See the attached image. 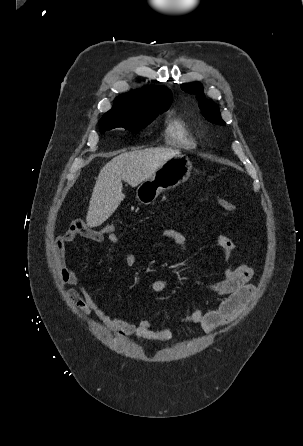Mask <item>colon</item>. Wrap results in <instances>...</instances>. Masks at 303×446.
I'll return each instance as SVG.
<instances>
[{
  "instance_id": "obj_1",
  "label": "colon",
  "mask_w": 303,
  "mask_h": 446,
  "mask_svg": "<svg viewBox=\"0 0 303 446\" xmlns=\"http://www.w3.org/2000/svg\"><path fill=\"white\" fill-rule=\"evenodd\" d=\"M217 203L220 206V208L223 209L224 211L231 212V211L235 210V206L226 199L218 198ZM101 233L105 236L116 235V225L111 223V224L104 226L101 229Z\"/></svg>"
}]
</instances>
